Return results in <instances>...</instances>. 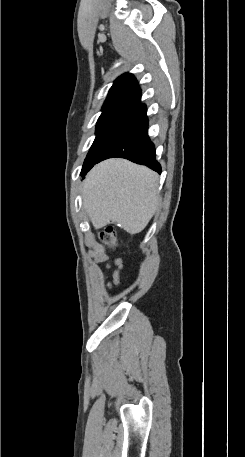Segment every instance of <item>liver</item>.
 <instances>
[{"label": "liver", "mask_w": 245, "mask_h": 457, "mask_svg": "<svg viewBox=\"0 0 245 457\" xmlns=\"http://www.w3.org/2000/svg\"><path fill=\"white\" fill-rule=\"evenodd\" d=\"M157 172L125 158H108L86 174L84 208L95 229L120 222L130 235L141 233L159 202Z\"/></svg>", "instance_id": "1"}]
</instances>
